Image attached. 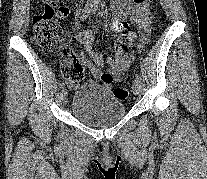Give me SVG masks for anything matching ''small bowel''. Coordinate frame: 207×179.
<instances>
[{
  "mask_svg": "<svg viewBox=\"0 0 207 179\" xmlns=\"http://www.w3.org/2000/svg\"><path fill=\"white\" fill-rule=\"evenodd\" d=\"M57 16L59 18H65L69 15V8L64 5L60 0L58 1ZM112 10L114 11L116 17L123 19L126 16H130L136 28L140 31L139 42H134L135 35H127L129 45L134 47L136 50H140L143 45L148 40L150 32V6L145 4L134 8L130 3V0H112ZM116 27L119 26V22L116 21L114 24ZM77 39L84 48L85 53L90 57V59L84 57L83 63L90 70L92 76L95 79H100L102 81L104 76H109L111 80L104 83L106 88L110 89L113 82H120L122 80V74L128 70L131 63L134 61V56L132 54L126 53L123 47V40L119 39L115 44V56L114 58H108L106 63L108 65V71L104 73L102 67L104 65V58L93 51L92 43L93 36L90 30H81L77 34ZM62 48L67 49L65 45H61ZM73 87V85H70Z\"/></svg>",
  "mask_w": 207,
  "mask_h": 179,
  "instance_id": "small-bowel-1",
  "label": "small bowel"
}]
</instances>
